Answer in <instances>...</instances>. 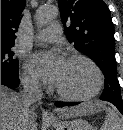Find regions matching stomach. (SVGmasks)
Segmentation results:
<instances>
[{
    "label": "stomach",
    "mask_w": 123,
    "mask_h": 130,
    "mask_svg": "<svg viewBox=\"0 0 123 130\" xmlns=\"http://www.w3.org/2000/svg\"><path fill=\"white\" fill-rule=\"evenodd\" d=\"M55 130H94L91 124L82 118L64 121L59 119L50 120Z\"/></svg>",
    "instance_id": "stomach-1"
}]
</instances>
